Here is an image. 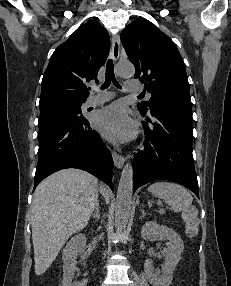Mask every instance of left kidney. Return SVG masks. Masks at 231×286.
Segmentation results:
<instances>
[{
	"mask_svg": "<svg viewBox=\"0 0 231 286\" xmlns=\"http://www.w3.org/2000/svg\"><path fill=\"white\" fill-rule=\"evenodd\" d=\"M141 236L145 240L152 237L168 240L167 247L164 248L166 262L162 270L154 269L152 260L148 259L144 263V271L153 286H169L173 279V272L184 250V243L181 237L173 229L165 225H159L154 221H148L142 226Z\"/></svg>",
	"mask_w": 231,
	"mask_h": 286,
	"instance_id": "obj_1",
	"label": "left kidney"
}]
</instances>
